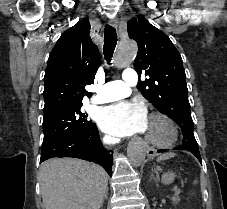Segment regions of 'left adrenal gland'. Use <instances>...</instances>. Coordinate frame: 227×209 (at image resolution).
I'll list each match as a JSON object with an SVG mask.
<instances>
[{"instance_id":"1","label":"left adrenal gland","mask_w":227,"mask_h":209,"mask_svg":"<svg viewBox=\"0 0 227 209\" xmlns=\"http://www.w3.org/2000/svg\"><path fill=\"white\" fill-rule=\"evenodd\" d=\"M152 177H153L154 181H156V183H157V181H159L158 173H156V175H152Z\"/></svg>"}]
</instances>
